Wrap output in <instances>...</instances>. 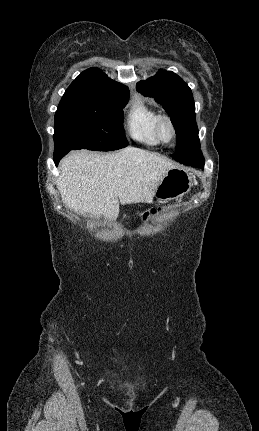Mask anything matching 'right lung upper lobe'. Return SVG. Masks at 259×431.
<instances>
[{"label":"right lung upper lobe","instance_id":"right-lung-upper-lobe-1","mask_svg":"<svg viewBox=\"0 0 259 431\" xmlns=\"http://www.w3.org/2000/svg\"><path fill=\"white\" fill-rule=\"evenodd\" d=\"M112 93H129V89L110 79L99 68L82 72L68 87L64 95L75 97H99Z\"/></svg>","mask_w":259,"mask_h":431}]
</instances>
